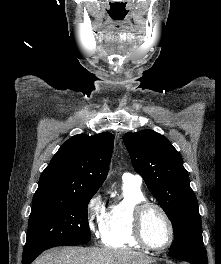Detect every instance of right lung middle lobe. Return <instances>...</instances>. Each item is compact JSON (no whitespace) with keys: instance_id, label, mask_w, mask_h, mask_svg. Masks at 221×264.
Returning a JSON list of instances; mask_svg holds the SVG:
<instances>
[{"instance_id":"1","label":"right lung middle lobe","mask_w":221,"mask_h":264,"mask_svg":"<svg viewBox=\"0 0 221 264\" xmlns=\"http://www.w3.org/2000/svg\"><path fill=\"white\" fill-rule=\"evenodd\" d=\"M95 193H35L23 257L90 241L87 205Z\"/></svg>"}]
</instances>
